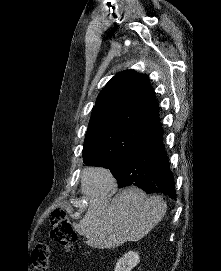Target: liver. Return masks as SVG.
<instances>
[{"label": "liver", "mask_w": 221, "mask_h": 271, "mask_svg": "<svg viewBox=\"0 0 221 271\" xmlns=\"http://www.w3.org/2000/svg\"><path fill=\"white\" fill-rule=\"evenodd\" d=\"M117 181L109 169L84 167L81 173V193L88 197V209L74 225L77 233L85 235L88 245L105 249L125 241H138L147 235L166 211L161 195H146L136 185L118 191Z\"/></svg>", "instance_id": "6515ba94"}]
</instances>
